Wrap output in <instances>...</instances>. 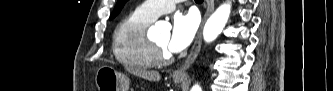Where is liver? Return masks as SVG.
<instances>
[{
  "mask_svg": "<svg viewBox=\"0 0 333 91\" xmlns=\"http://www.w3.org/2000/svg\"><path fill=\"white\" fill-rule=\"evenodd\" d=\"M127 70L140 77V78H143V79H146V80H149V81H159L161 76L159 74V72L157 71H149V70H144V69H132V68H127Z\"/></svg>",
  "mask_w": 333,
  "mask_h": 91,
  "instance_id": "6515ba94",
  "label": "liver"
}]
</instances>
